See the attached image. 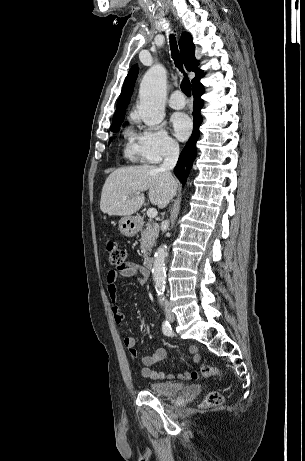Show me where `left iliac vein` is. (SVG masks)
Instances as JSON below:
<instances>
[{
	"instance_id": "4c4485c4",
	"label": "left iliac vein",
	"mask_w": 305,
	"mask_h": 461,
	"mask_svg": "<svg viewBox=\"0 0 305 461\" xmlns=\"http://www.w3.org/2000/svg\"><path fill=\"white\" fill-rule=\"evenodd\" d=\"M170 315H171V320H174V316H173V314H172V313H170Z\"/></svg>"
}]
</instances>
